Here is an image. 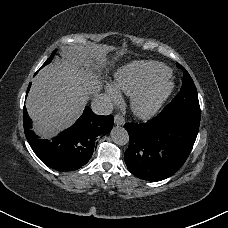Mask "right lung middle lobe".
I'll list each match as a JSON object with an SVG mask.
<instances>
[{"instance_id":"dd1d6c3e","label":"right lung middle lobe","mask_w":228,"mask_h":228,"mask_svg":"<svg viewBox=\"0 0 228 228\" xmlns=\"http://www.w3.org/2000/svg\"><path fill=\"white\" fill-rule=\"evenodd\" d=\"M55 52H56V51H54V52L52 53L51 58L48 59V60L42 65V67L45 66V65H47V64H49V63L51 62V60L53 59V57H54V55H55Z\"/></svg>"}]
</instances>
